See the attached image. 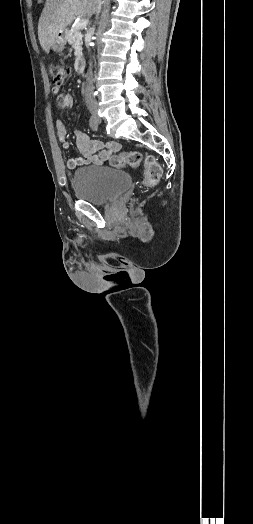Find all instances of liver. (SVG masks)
<instances>
[{
	"label": "liver",
	"mask_w": 253,
	"mask_h": 524,
	"mask_svg": "<svg viewBox=\"0 0 253 524\" xmlns=\"http://www.w3.org/2000/svg\"><path fill=\"white\" fill-rule=\"evenodd\" d=\"M98 0H46L38 22V38L42 49L49 53L52 42L59 32L78 16L91 17Z\"/></svg>",
	"instance_id": "obj_1"
}]
</instances>
